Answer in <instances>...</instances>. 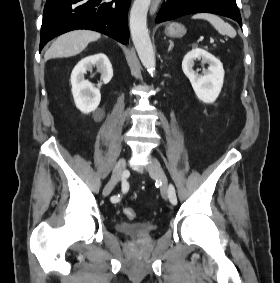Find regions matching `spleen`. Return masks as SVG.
I'll return each mask as SVG.
<instances>
[{
    "label": "spleen",
    "mask_w": 280,
    "mask_h": 283,
    "mask_svg": "<svg viewBox=\"0 0 280 283\" xmlns=\"http://www.w3.org/2000/svg\"><path fill=\"white\" fill-rule=\"evenodd\" d=\"M192 18L207 20L222 35H227L231 38L236 36L235 29L229 23H226L216 15L209 13H198L193 15Z\"/></svg>",
    "instance_id": "3e777b00"
}]
</instances>
